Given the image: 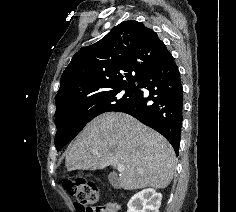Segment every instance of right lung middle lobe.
Masks as SVG:
<instances>
[{
  "instance_id": "obj_1",
  "label": "right lung middle lobe",
  "mask_w": 236,
  "mask_h": 212,
  "mask_svg": "<svg viewBox=\"0 0 236 212\" xmlns=\"http://www.w3.org/2000/svg\"><path fill=\"white\" fill-rule=\"evenodd\" d=\"M136 94L135 85L123 86L79 99L56 111L57 151L70 142L93 118L129 104Z\"/></svg>"
}]
</instances>
